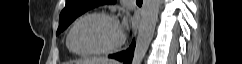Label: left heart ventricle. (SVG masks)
Wrapping results in <instances>:
<instances>
[{
	"mask_svg": "<svg viewBox=\"0 0 242 64\" xmlns=\"http://www.w3.org/2000/svg\"><path fill=\"white\" fill-rule=\"evenodd\" d=\"M120 34V28L114 21L90 17L77 25L72 35V44L78 51L103 49L115 44Z\"/></svg>",
	"mask_w": 242,
	"mask_h": 64,
	"instance_id": "1",
	"label": "left heart ventricle"
}]
</instances>
